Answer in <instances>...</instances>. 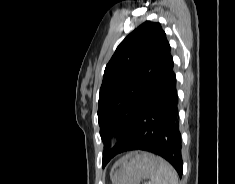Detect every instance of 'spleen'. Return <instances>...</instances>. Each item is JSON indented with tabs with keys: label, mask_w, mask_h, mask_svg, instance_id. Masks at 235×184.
I'll return each instance as SVG.
<instances>
[{
	"label": "spleen",
	"mask_w": 235,
	"mask_h": 184,
	"mask_svg": "<svg viewBox=\"0 0 235 184\" xmlns=\"http://www.w3.org/2000/svg\"><path fill=\"white\" fill-rule=\"evenodd\" d=\"M158 164L157 172L151 176V182H146V184H178V176L174 168L163 158H158Z\"/></svg>",
	"instance_id": "spleen-1"
}]
</instances>
